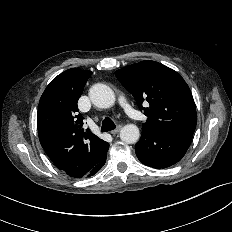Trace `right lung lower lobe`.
Here are the masks:
<instances>
[{
  "label": "right lung lower lobe",
  "mask_w": 232,
  "mask_h": 232,
  "mask_svg": "<svg viewBox=\"0 0 232 232\" xmlns=\"http://www.w3.org/2000/svg\"><path fill=\"white\" fill-rule=\"evenodd\" d=\"M106 162V154L102 157V159L99 161V163L94 166L85 176H92L94 175L97 171L100 170V168L105 164Z\"/></svg>",
  "instance_id": "obj_1"
}]
</instances>
